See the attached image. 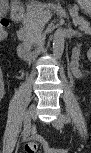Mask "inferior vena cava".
<instances>
[{"mask_svg":"<svg viewBox=\"0 0 91 153\" xmlns=\"http://www.w3.org/2000/svg\"><path fill=\"white\" fill-rule=\"evenodd\" d=\"M40 31L36 35V44H33L35 50H32L31 51L32 53H45L46 47H44V37L41 35ZM37 56H42V55L32 54V57H37Z\"/></svg>","mask_w":91,"mask_h":153,"instance_id":"inferior-vena-cava-1","label":"inferior vena cava"}]
</instances>
